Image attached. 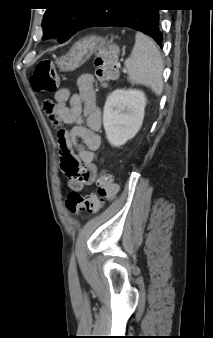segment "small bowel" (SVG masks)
Here are the masks:
<instances>
[{
  "label": "small bowel",
  "mask_w": 213,
  "mask_h": 338,
  "mask_svg": "<svg viewBox=\"0 0 213 338\" xmlns=\"http://www.w3.org/2000/svg\"><path fill=\"white\" fill-rule=\"evenodd\" d=\"M78 92L70 95L68 88H61L54 95L48 112L71 128L60 136V148L68 147L82 168L68 177L72 190L81 192L95 178L94 152L100 146L98 131L101 126V110L96 102L94 79L82 75L77 80ZM81 140V143L78 142Z\"/></svg>",
  "instance_id": "1"
}]
</instances>
